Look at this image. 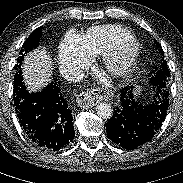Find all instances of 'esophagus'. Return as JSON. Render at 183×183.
Segmentation results:
<instances>
[{"label": "esophagus", "mask_w": 183, "mask_h": 183, "mask_svg": "<svg viewBox=\"0 0 183 183\" xmlns=\"http://www.w3.org/2000/svg\"><path fill=\"white\" fill-rule=\"evenodd\" d=\"M113 97V93L109 90L101 88H93L83 91L77 97V104L81 108H90L96 105L99 101H108Z\"/></svg>", "instance_id": "34e87169"}]
</instances>
